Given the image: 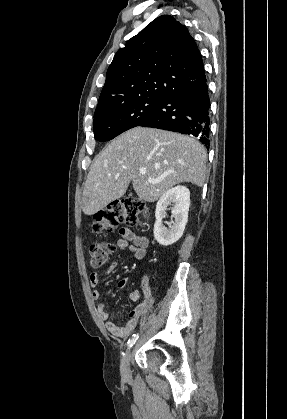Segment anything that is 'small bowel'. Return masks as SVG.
<instances>
[{
    "mask_svg": "<svg viewBox=\"0 0 287 419\" xmlns=\"http://www.w3.org/2000/svg\"><path fill=\"white\" fill-rule=\"evenodd\" d=\"M147 246L148 239L146 237L137 236L132 230L128 228H123L121 230V238L117 241V247L120 252L128 250L136 258L140 259L144 257ZM121 258L122 255L118 254L116 260L102 274L92 273L90 275V285L93 288L91 295L93 299L97 300L100 298V291L97 288V286L99 284L101 276L111 273L116 268ZM127 284V279H121L120 281H118L117 287L118 289H124L127 286ZM143 287L145 288L144 293L138 290H135L130 293L129 298L131 301L135 302L143 300V302L129 313L128 321L123 326H118L111 320V312L103 303L97 304V313L101 320L105 322V327L109 333L119 338H125L134 330L141 315L147 310L149 306L148 301L145 299L148 289L147 276L143 278Z\"/></svg>",
    "mask_w": 287,
    "mask_h": 419,
    "instance_id": "c3829d8e",
    "label": "small bowel"
}]
</instances>
